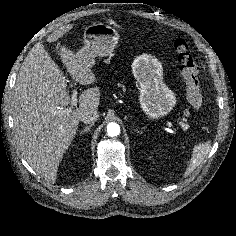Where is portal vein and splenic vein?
I'll use <instances>...</instances> for the list:
<instances>
[{
  "label": "portal vein and splenic vein",
  "mask_w": 236,
  "mask_h": 236,
  "mask_svg": "<svg viewBox=\"0 0 236 236\" xmlns=\"http://www.w3.org/2000/svg\"><path fill=\"white\" fill-rule=\"evenodd\" d=\"M71 106L72 107H75L77 106V91L76 90H73V93L71 95ZM62 110L63 113H69L71 111V108L70 109H67V110H63V108H60ZM166 124L168 127L172 128L173 127V124L172 122L170 121H166ZM179 125L183 128H187V124H185L184 122H180Z\"/></svg>",
  "instance_id": "portal-vein-and-splenic-vein-1"
}]
</instances>
